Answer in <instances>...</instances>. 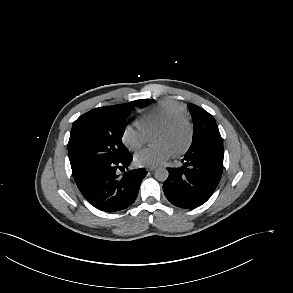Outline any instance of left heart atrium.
I'll list each match as a JSON object with an SVG mask.
<instances>
[{"mask_svg": "<svg viewBox=\"0 0 293 293\" xmlns=\"http://www.w3.org/2000/svg\"><path fill=\"white\" fill-rule=\"evenodd\" d=\"M174 151L167 143H158L140 150L134 157L135 163L141 167H155L164 163Z\"/></svg>", "mask_w": 293, "mask_h": 293, "instance_id": "obj_1", "label": "left heart atrium"}]
</instances>
